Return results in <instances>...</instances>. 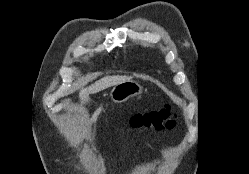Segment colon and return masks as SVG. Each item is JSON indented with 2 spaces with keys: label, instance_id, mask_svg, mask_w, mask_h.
<instances>
[{
  "label": "colon",
  "instance_id": "5ec220e1",
  "mask_svg": "<svg viewBox=\"0 0 249 174\" xmlns=\"http://www.w3.org/2000/svg\"><path fill=\"white\" fill-rule=\"evenodd\" d=\"M132 128L153 132L168 129L174 126L175 120L170 107L160 110L137 113L128 120Z\"/></svg>",
  "mask_w": 249,
  "mask_h": 174
}]
</instances>
